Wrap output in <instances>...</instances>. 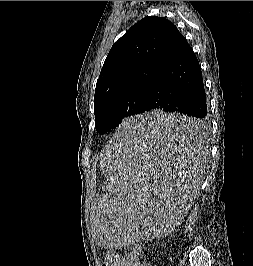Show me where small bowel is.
Wrapping results in <instances>:
<instances>
[{
  "label": "small bowel",
  "instance_id": "c3829d8e",
  "mask_svg": "<svg viewBox=\"0 0 253 266\" xmlns=\"http://www.w3.org/2000/svg\"><path fill=\"white\" fill-rule=\"evenodd\" d=\"M141 248H133L122 259V266H149L148 263L140 257Z\"/></svg>",
  "mask_w": 253,
  "mask_h": 266
}]
</instances>
